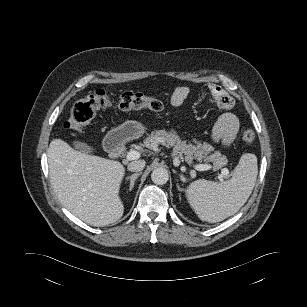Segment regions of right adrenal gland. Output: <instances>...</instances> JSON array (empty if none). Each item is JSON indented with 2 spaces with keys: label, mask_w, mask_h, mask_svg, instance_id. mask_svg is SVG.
I'll return each mask as SVG.
<instances>
[{
  "label": "right adrenal gland",
  "mask_w": 307,
  "mask_h": 307,
  "mask_svg": "<svg viewBox=\"0 0 307 307\" xmlns=\"http://www.w3.org/2000/svg\"><path fill=\"white\" fill-rule=\"evenodd\" d=\"M141 175V173H134L130 177H127L126 180H130L129 190L131 191L134 187L135 180Z\"/></svg>",
  "instance_id": "obj_1"
}]
</instances>
